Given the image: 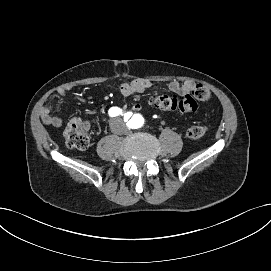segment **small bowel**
<instances>
[{"label":"small bowel","mask_w":271,"mask_h":271,"mask_svg":"<svg viewBox=\"0 0 271 271\" xmlns=\"http://www.w3.org/2000/svg\"><path fill=\"white\" fill-rule=\"evenodd\" d=\"M196 84L192 81H184V82H178V81H170L167 83V88L180 96H185L188 94H191L195 88ZM149 87H151V82L144 80V79H135L130 82H125L121 85L120 91L124 97H130L136 94L143 93L145 90H147ZM69 92V88H61L58 90V93L60 96H66ZM134 111H139L141 109L140 104L135 103L132 106ZM40 118L44 124L47 125H53V126H61L62 125V119L53 115V109L52 107L45 106L40 111Z\"/></svg>","instance_id":"obj_1"}]
</instances>
